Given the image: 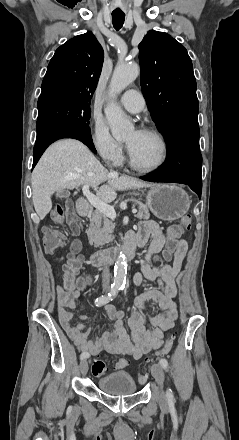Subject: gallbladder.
Here are the masks:
<instances>
[{
	"label": "gallbladder",
	"instance_id": "bac80fb5",
	"mask_svg": "<svg viewBox=\"0 0 239 440\" xmlns=\"http://www.w3.org/2000/svg\"><path fill=\"white\" fill-rule=\"evenodd\" d=\"M56 196H57V198H68L69 191L67 189L66 190H57Z\"/></svg>",
	"mask_w": 239,
	"mask_h": 440
}]
</instances>
